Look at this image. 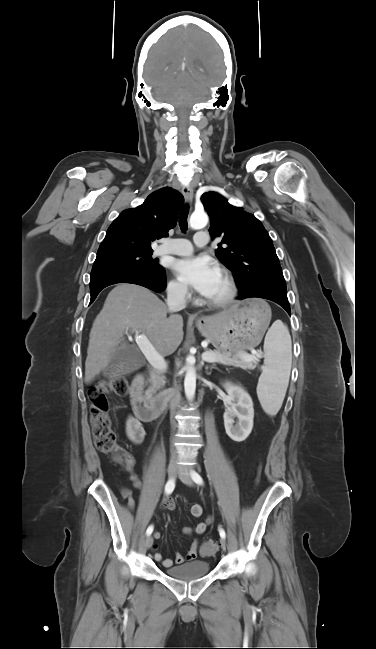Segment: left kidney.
<instances>
[{
  "instance_id": "left-kidney-1",
  "label": "left kidney",
  "mask_w": 376,
  "mask_h": 649,
  "mask_svg": "<svg viewBox=\"0 0 376 649\" xmlns=\"http://www.w3.org/2000/svg\"><path fill=\"white\" fill-rule=\"evenodd\" d=\"M223 387L228 393L230 401V407L223 415L225 430L232 440L241 442L249 436L253 429V402L250 395L241 386L226 382ZM235 418H238L236 424H234Z\"/></svg>"
}]
</instances>
